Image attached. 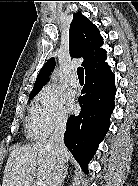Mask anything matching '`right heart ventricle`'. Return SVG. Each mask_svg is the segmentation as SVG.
Here are the masks:
<instances>
[{
  "label": "right heart ventricle",
  "mask_w": 138,
  "mask_h": 186,
  "mask_svg": "<svg viewBox=\"0 0 138 186\" xmlns=\"http://www.w3.org/2000/svg\"><path fill=\"white\" fill-rule=\"evenodd\" d=\"M26 133L29 137L41 139L46 136L38 119V105L32 104L30 114L26 121Z\"/></svg>",
  "instance_id": "right-heart-ventricle-1"
}]
</instances>
